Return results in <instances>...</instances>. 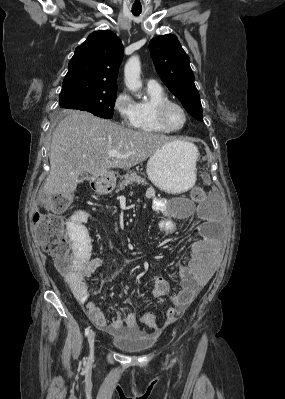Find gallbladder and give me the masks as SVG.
Wrapping results in <instances>:
<instances>
[{"label":"gallbladder","instance_id":"obj_1","mask_svg":"<svg viewBox=\"0 0 285 399\" xmlns=\"http://www.w3.org/2000/svg\"><path fill=\"white\" fill-rule=\"evenodd\" d=\"M88 180L89 179V176H88V174H86V173H82V174H80L79 175V177H78V180H79V183H82L84 180Z\"/></svg>","mask_w":285,"mask_h":399}]
</instances>
